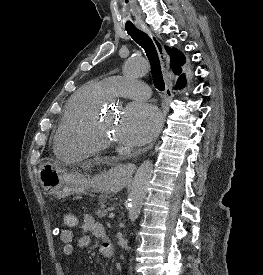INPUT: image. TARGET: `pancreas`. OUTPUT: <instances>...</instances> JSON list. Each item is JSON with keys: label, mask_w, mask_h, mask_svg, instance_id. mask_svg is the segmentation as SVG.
I'll return each instance as SVG.
<instances>
[{"label": "pancreas", "mask_w": 263, "mask_h": 275, "mask_svg": "<svg viewBox=\"0 0 263 275\" xmlns=\"http://www.w3.org/2000/svg\"><path fill=\"white\" fill-rule=\"evenodd\" d=\"M107 199L108 197L106 196H99L100 208L96 211V215L100 219L104 218L108 213L107 206L105 205V203L107 202Z\"/></svg>", "instance_id": "cf45deb5"}]
</instances>
